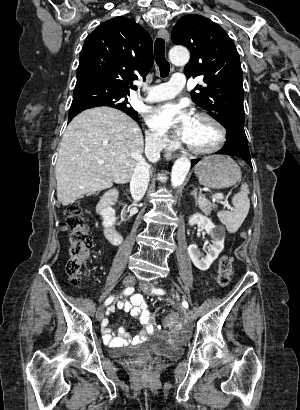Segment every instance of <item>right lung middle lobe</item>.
Wrapping results in <instances>:
<instances>
[{"mask_svg": "<svg viewBox=\"0 0 300 410\" xmlns=\"http://www.w3.org/2000/svg\"><path fill=\"white\" fill-rule=\"evenodd\" d=\"M129 94L98 83H76L69 114L97 106H110L137 116L129 106Z\"/></svg>", "mask_w": 300, "mask_h": 410, "instance_id": "right-lung-middle-lobe-1", "label": "right lung middle lobe"}]
</instances>
